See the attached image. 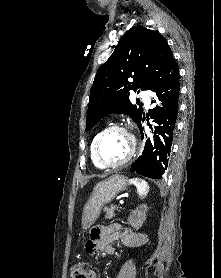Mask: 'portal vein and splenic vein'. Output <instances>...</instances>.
I'll use <instances>...</instances> for the list:
<instances>
[{"label": "portal vein and splenic vein", "instance_id": "1", "mask_svg": "<svg viewBox=\"0 0 221 278\" xmlns=\"http://www.w3.org/2000/svg\"><path fill=\"white\" fill-rule=\"evenodd\" d=\"M119 203H120L121 205H123V204H124V201H123V200H120Z\"/></svg>", "mask_w": 221, "mask_h": 278}]
</instances>
